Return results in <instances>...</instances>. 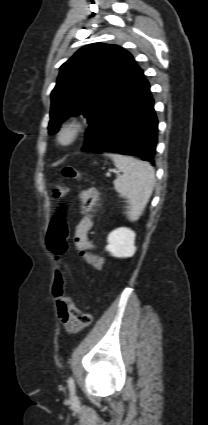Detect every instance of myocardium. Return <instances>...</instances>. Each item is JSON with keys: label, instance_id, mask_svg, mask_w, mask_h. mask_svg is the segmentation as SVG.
Returning <instances> with one entry per match:
<instances>
[{"label": "myocardium", "instance_id": "1", "mask_svg": "<svg viewBox=\"0 0 208 425\" xmlns=\"http://www.w3.org/2000/svg\"><path fill=\"white\" fill-rule=\"evenodd\" d=\"M85 124L80 119L65 121L59 128L56 140L61 146L67 147L75 144L84 134Z\"/></svg>", "mask_w": 208, "mask_h": 425}]
</instances>
